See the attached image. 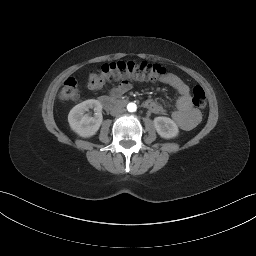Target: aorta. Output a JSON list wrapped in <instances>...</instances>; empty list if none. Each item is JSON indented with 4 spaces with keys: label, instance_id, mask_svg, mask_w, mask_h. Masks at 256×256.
Masks as SVG:
<instances>
[{
    "label": "aorta",
    "instance_id": "1",
    "mask_svg": "<svg viewBox=\"0 0 256 256\" xmlns=\"http://www.w3.org/2000/svg\"><path fill=\"white\" fill-rule=\"evenodd\" d=\"M127 110L129 112H135L137 110V105L135 103H129L127 105Z\"/></svg>",
    "mask_w": 256,
    "mask_h": 256
}]
</instances>
